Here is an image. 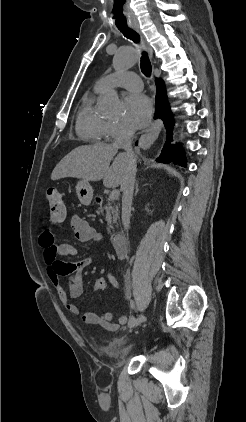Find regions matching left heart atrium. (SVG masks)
<instances>
[{
    "instance_id": "obj_1",
    "label": "left heart atrium",
    "mask_w": 246,
    "mask_h": 422,
    "mask_svg": "<svg viewBox=\"0 0 246 422\" xmlns=\"http://www.w3.org/2000/svg\"><path fill=\"white\" fill-rule=\"evenodd\" d=\"M124 120L132 128L146 126L151 117L152 107L150 100L143 94L132 93L123 101Z\"/></svg>"
}]
</instances>
